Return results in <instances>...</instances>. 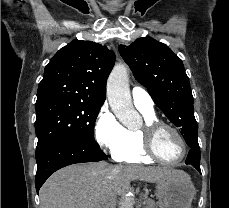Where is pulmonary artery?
<instances>
[{"label": "pulmonary artery", "instance_id": "1", "mask_svg": "<svg viewBox=\"0 0 229 208\" xmlns=\"http://www.w3.org/2000/svg\"><path fill=\"white\" fill-rule=\"evenodd\" d=\"M132 100L138 110L154 112V102L147 91L142 87H134L131 91Z\"/></svg>", "mask_w": 229, "mask_h": 208}]
</instances>
